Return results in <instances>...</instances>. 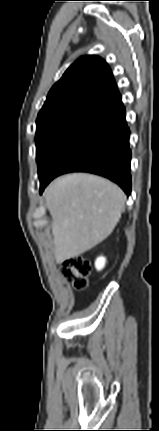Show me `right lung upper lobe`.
<instances>
[{
	"label": "right lung upper lobe",
	"instance_id": "obj_1",
	"mask_svg": "<svg viewBox=\"0 0 159 431\" xmlns=\"http://www.w3.org/2000/svg\"><path fill=\"white\" fill-rule=\"evenodd\" d=\"M122 104L110 67L100 57L76 60L54 84L38 118L71 116L89 120Z\"/></svg>",
	"mask_w": 159,
	"mask_h": 431
}]
</instances>
